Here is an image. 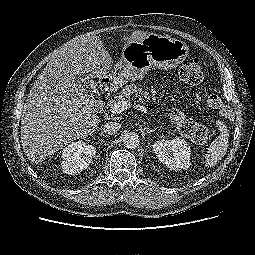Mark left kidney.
Wrapping results in <instances>:
<instances>
[{
	"label": "left kidney",
	"instance_id": "obj_1",
	"mask_svg": "<svg viewBox=\"0 0 255 255\" xmlns=\"http://www.w3.org/2000/svg\"><path fill=\"white\" fill-rule=\"evenodd\" d=\"M153 150L159 161L170 170L179 171L190 167L191 149L184 139L158 140L154 143Z\"/></svg>",
	"mask_w": 255,
	"mask_h": 255
}]
</instances>
